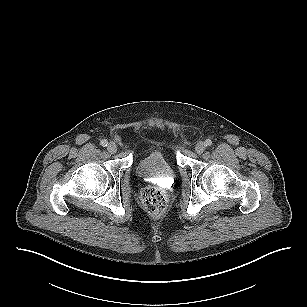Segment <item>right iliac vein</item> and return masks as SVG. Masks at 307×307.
Instances as JSON below:
<instances>
[{"instance_id": "right-iliac-vein-1", "label": "right iliac vein", "mask_w": 307, "mask_h": 307, "mask_svg": "<svg viewBox=\"0 0 307 307\" xmlns=\"http://www.w3.org/2000/svg\"><path fill=\"white\" fill-rule=\"evenodd\" d=\"M107 150H108V152H110V153H115L116 151H117V146H116V144L115 143H113V142H110L109 144H108V146H107Z\"/></svg>"}]
</instances>
